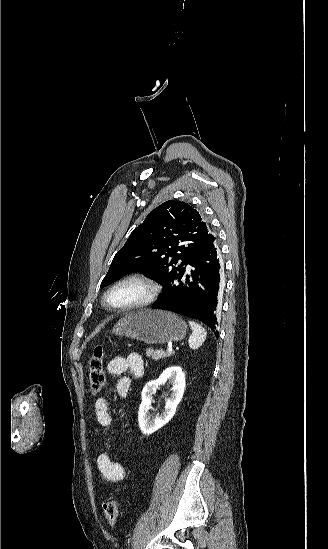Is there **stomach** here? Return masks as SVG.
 Listing matches in <instances>:
<instances>
[{"label": "stomach", "instance_id": "0dacf381", "mask_svg": "<svg viewBox=\"0 0 328 549\" xmlns=\"http://www.w3.org/2000/svg\"><path fill=\"white\" fill-rule=\"evenodd\" d=\"M186 331L185 321L175 313L161 309H140L136 313H129L119 319L112 329L114 335L137 339L147 345L182 341Z\"/></svg>", "mask_w": 328, "mask_h": 549}]
</instances>
